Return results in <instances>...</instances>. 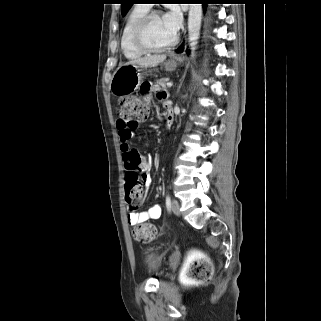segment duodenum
<instances>
[{
    "mask_svg": "<svg viewBox=\"0 0 321 321\" xmlns=\"http://www.w3.org/2000/svg\"><path fill=\"white\" fill-rule=\"evenodd\" d=\"M167 124L170 126L173 123V112L171 111H167Z\"/></svg>",
    "mask_w": 321,
    "mask_h": 321,
    "instance_id": "410a0bca",
    "label": "duodenum"
}]
</instances>
